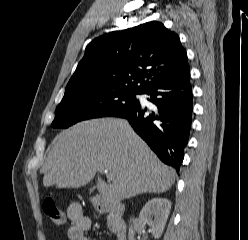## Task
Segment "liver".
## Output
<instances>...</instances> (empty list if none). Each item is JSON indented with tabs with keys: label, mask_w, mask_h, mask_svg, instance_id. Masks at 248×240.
I'll return each mask as SVG.
<instances>
[{
	"label": "liver",
	"mask_w": 248,
	"mask_h": 240,
	"mask_svg": "<svg viewBox=\"0 0 248 240\" xmlns=\"http://www.w3.org/2000/svg\"><path fill=\"white\" fill-rule=\"evenodd\" d=\"M104 170L109 171L111 183L98 177L97 190L108 203L141 193H163L176 176L126 120L102 118L77 123L56 136L42 168L43 185L78 188Z\"/></svg>",
	"instance_id": "liver-1"
}]
</instances>
